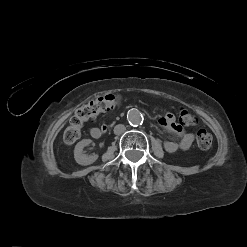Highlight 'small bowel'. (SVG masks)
<instances>
[{
  "mask_svg": "<svg viewBox=\"0 0 247 247\" xmlns=\"http://www.w3.org/2000/svg\"><path fill=\"white\" fill-rule=\"evenodd\" d=\"M159 125L164 128L168 133L174 135L164 142V149L169 153L177 152L178 150H188L194 141L192 133L185 132L175 120V116L171 113H166L158 121ZM107 131V125L103 124L100 127H91L89 133L93 138H99Z\"/></svg>",
  "mask_w": 247,
  "mask_h": 247,
  "instance_id": "obj_1",
  "label": "small bowel"
}]
</instances>
